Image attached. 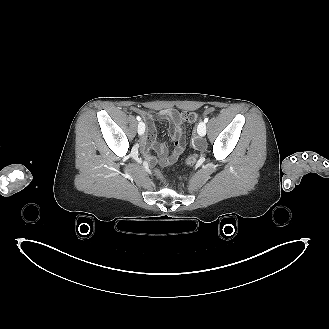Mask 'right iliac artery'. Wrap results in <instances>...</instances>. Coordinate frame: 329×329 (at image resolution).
Segmentation results:
<instances>
[{"label":"right iliac artery","instance_id":"obj_1","mask_svg":"<svg viewBox=\"0 0 329 329\" xmlns=\"http://www.w3.org/2000/svg\"><path fill=\"white\" fill-rule=\"evenodd\" d=\"M136 119H137L138 121H140V120H141V117H140V116H137Z\"/></svg>","mask_w":329,"mask_h":329}]
</instances>
